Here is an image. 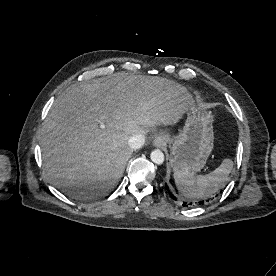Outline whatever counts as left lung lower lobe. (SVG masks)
Wrapping results in <instances>:
<instances>
[{
    "mask_svg": "<svg viewBox=\"0 0 276 276\" xmlns=\"http://www.w3.org/2000/svg\"><path fill=\"white\" fill-rule=\"evenodd\" d=\"M165 187H166V189H167V191H168L170 197H171L172 199L176 200V197L171 193V191L169 190V187H168L167 184H165ZM211 196H213V195H211ZM209 197H210V196H209ZM206 198H208V197H206ZM202 199H204V198H202ZM206 201H208V200H206ZM202 203H204V200L199 202V204H202ZM192 204H193L192 202H190V203L184 202V203H183V206H191Z\"/></svg>",
    "mask_w": 276,
    "mask_h": 276,
    "instance_id": "1",
    "label": "left lung lower lobe"
}]
</instances>
